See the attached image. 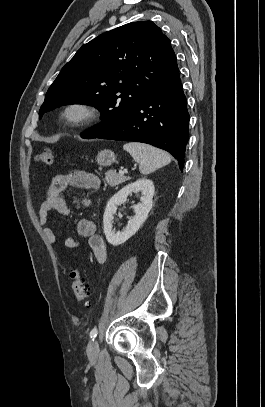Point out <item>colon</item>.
I'll return each mask as SVG.
<instances>
[{
	"label": "colon",
	"mask_w": 265,
	"mask_h": 407,
	"mask_svg": "<svg viewBox=\"0 0 265 407\" xmlns=\"http://www.w3.org/2000/svg\"><path fill=\"white\" fill-rule=\"evenodd\" d=\"M55 153L51 149H45L36 156V160L42 164L51 165L55 161ZM72 288L76 301L82 306L89 307V290L81 270L76 266L71 272Z\"/></svg>",
	"instance_id": "1"
}]
</instances>
